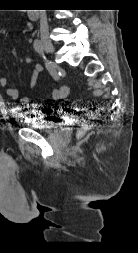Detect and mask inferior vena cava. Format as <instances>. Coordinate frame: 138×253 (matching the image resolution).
I'll return each instance as SVG.
<instances>
[{"mask_svg": "<svg viewBox=\"0 0 138 253\" xmlns=\"http://www.w3.org/2000/svg\"><path fill=\"white\" fill-rule=\"evenodd\" d=\"M40 34L42 39L49 37L46 10H40Z\"/></svg>", "mask_w": 138, "mask_h": 253, "instance_id": "1", "label": "inferior vena cava"}]
</instances>
